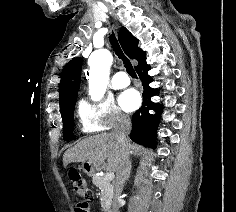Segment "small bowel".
Listing matches in <instances>:
<instances>
[{
  "instance_id": "1",
  "label": "small bowel",
  "mask_w": 236,
  "mask_h": 212,
  "mask_svg": "<svg viewBox=\"0 0 236 212\" xmlns=\"http://www.w3.org/2000/svg\"><path fill=\"white\" fill-rule=\"evenodd\" d=\"M78 204H87V199H78ZM75 212H90V205H75Z\"/></svg>"
}]
</instances>
